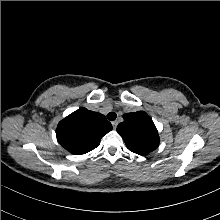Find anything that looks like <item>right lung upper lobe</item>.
Listing matches in <instances>:
<instances>
[{"label": "right lung upper lobe", "instance_id": "obj_1", "mask_svg": "<svg viewBox=\"0 0 220 220\" xmlns=\"http://www.w3.org/2000/svg\"><path fill=\"white\" fill-rule=\"evenodd\" d=\"M111 130L104 115L81 107L59 122L56 136L62 147L81 155L98 147L101 138Z\"/></svg>", "mask_w": 220, "mask_h": 220}]
</instances>
